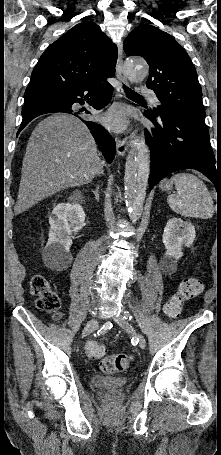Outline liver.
Segmentation results:
<instances>
[{"label":"liver","instance_id":"6515ba94","mask_svg":"<svg viewBox=\"0 0 221 455\" xmlns=\"http://www.w3.org/2000/svg\"><path fill=\"white\" fill-rule=\"evenodd\" d=\"M103 166L84 123L68 114L45 118L27 144L15 214L63 189L91 182L102 173Z\"/></svg>","mask_w":221,"mask_h":455}]
</instances>
